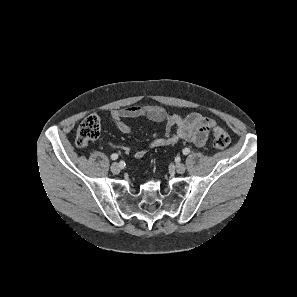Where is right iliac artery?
I'll return each instance as SVG.
<instances>
[{
  "mask_svg": "<svg viewBox=\"0 0 297 297\" xmlns=\"http://www.w3.org/2000/svg\"><path fill=\"white\" fill-rule=\"evenodd\" d=\"M111 159H112V160H116V159H118V154H116V153L112 154V155H111Z\"/></svg>",
  "mask_w": 297,
  "mask_h": 297,
  "instance_id": "right-iliac-artery-1",
  "label": "right iliac artery"
}]
</instances>
